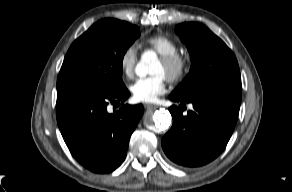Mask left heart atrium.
<instances>
[{
    "label": "left heart atrium",
    "instance_id": "1",
    "mask_svg": "<svg viewBox=\"0 0 292 192\" xmlns=\"http://www.w3.org/2000/svg\"><path fill=\"white\" fill-rule=\"evenodd\" d=\"M130 91L137 102H153L166 91V81L163 74H154L139 78L131 86Z\"/></svg>",
    "mask_w": 292,
    "mask_h": 192
}]
</instances>
